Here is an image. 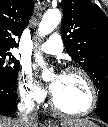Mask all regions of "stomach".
I'll use <instances>...</instances> for the list:
<instances>
[{
	"mask_svg": "<svg viewBox=\"0 0 108 127\" xmlns=\"http://www.w3.org/2000/svg\"><path fill=\"white\" fill-rule=\"evenodd\" d=\"M47 127H59L58 125H48ZM61 127H98L96 124L94 126L86 125V126H79V125H66Z\"/></svg>",
	"mask_w": 108,
	"mask_h": 127,
	"instance_id": "0dacf381",
	"label": "stomach"
}]
</instances>
